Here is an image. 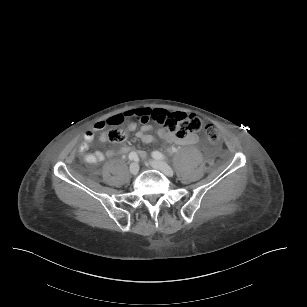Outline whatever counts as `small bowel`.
Masks as SVG:
<instances>
[{"instance_id":"small-bowel-1","label":"small bowel","mask_w":307,"mask_h":307,"mask_svg":"<svg viewBox=\"0 0 307 307\" xmlns=\"http://www.w3.org/2000/svg\"><path fill=\"white\" fill-rule=\"evenodd\" d=\"M151 110L147 108H138L130 112L131 115L136 116L137 118H144L146 121L140 127V129L136 132V136L144 143H151L155 139L149 133L152 129V126L148 124L150 121L147 120L149 117ZM128 127L130 130L135 129V125L129 124ZM103 129L102 123H97L93 129L88 130L84 134V142L80 145L79 151L83 154V158L88 163H97L101 162L105 159V157H113L117 152L118 153H128L131 149L129 144L124 143L118 151L114 149H109L105 153L95 152V153H86L90 147V143L94 140L95 133ZM158 136L167 144H177V145H196L199 143V137L197 134L192 133L187 135L186 137L180 138L177 137L174 133L168 132L162 128L157 130ZM102 139L105 140L104 136ZM140 156H144L143 152H139Z\"/></svg>"}]
</instances>
